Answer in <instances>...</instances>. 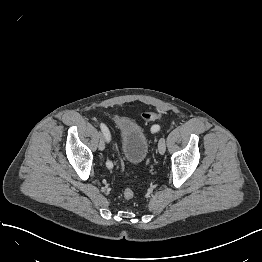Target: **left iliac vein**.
Instances as JSON below:
<instances>
[{
  "label": "left iliac vein",
  "mask_w": 262,
  "mask_h": 262,
  "mask_svg": "<svg viewBox=\"0 0 262 262\" xmlns=\"http://www.w3.org/2000/svg\"><path fill=\"white\" fill-rule=\"evenodd\" d=\"M158 151L161 155H163L166 151V141H165V138L162 137L159 141V144H158Z\"/></svg>",
  "instance_id": "left-iliac-vein-1"
}]
</instances>
